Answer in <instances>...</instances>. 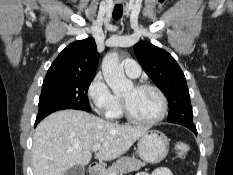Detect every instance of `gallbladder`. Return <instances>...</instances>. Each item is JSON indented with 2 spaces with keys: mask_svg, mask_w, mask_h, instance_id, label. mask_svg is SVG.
<instances>
[{
  "mask_svg": "<svg viewBox=\"0 0 233 175\" xmlns=\"http://www.w3.org/2000/svg\"><path fill=\"white\" fill-rule=\"evenodd\" d=\"M65 175H85V168L81 165H75L68 169Z\"/></svg>",
  "mask_w": 233,
  "mask_h": 175,
  "instance_id": "obj_1",
  "label": "gallbladder"
}]
</instances>
